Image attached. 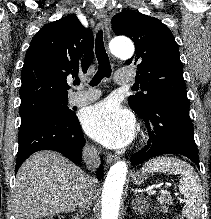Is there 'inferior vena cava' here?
I'll return each instance as SVG.
<instances>
[{
	"label": "inferior vena cava",
	"instance_id": "obj_1",
	"mask_svg": "<svg viewBox=\"0 0 211 219\" xmlns=\"http://www.w3.org/2000/svg\"><path fill=\"white\" fill-rule=\"evenodd\" d=\"M83 160L87 168L95 170L100 164V157L97 149L94 146H85L82 151ZM87 185L80 198L78 206L81 209H88L93 199V188L96 184V179L93 176H86Z\"/></svg>",
	"mask_w": 211,
	"mask_h": 219
}]
</instances>
